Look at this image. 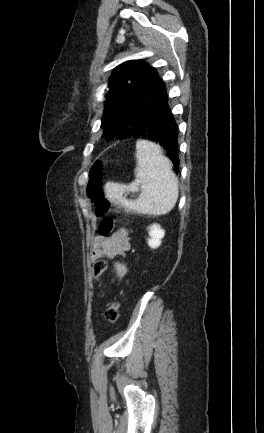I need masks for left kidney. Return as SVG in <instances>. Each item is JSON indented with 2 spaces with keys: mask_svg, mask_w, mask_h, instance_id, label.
<instances>
[{
  "mask_svg": "<svg viewBox=\"0 0 264 433\" xmlns=\"http://www.w3.org/2000/svg\"><path fill=\"white\" fill-rule=\"evenodd\" d=\"M165 231L158 224H153L149 227L148 245L155 249L161 245V239L164 237Z\"/></svg>",
  "mask_w": 264,
  "mask_h": 433,
  "instance_id": "obj_1",
  "label": "left kidney"
}]
</instances>
